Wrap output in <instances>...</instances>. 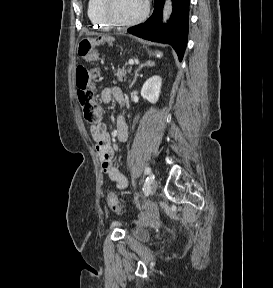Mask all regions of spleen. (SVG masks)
<instances>
[{"mask_svg": "<svg viewBox=\"0 0 273 288\" xmlns=\"http://www.w3.org/2000/svg\"><path fill=\"white\" fill-rule=\"evenodd\" d=\"M150 55H151V53H150ZM153 55H155L157 58H161L163 54L159 51H156L155 53H153Z\"/></svg>", "mask_w": 273, "mask_h": 288, "instance_id": "spleen-1", "label": "spleen"}]
</instances>
